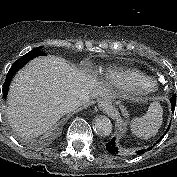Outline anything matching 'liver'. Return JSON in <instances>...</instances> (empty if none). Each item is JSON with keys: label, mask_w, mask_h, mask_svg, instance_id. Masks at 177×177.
Masks as SVG:
<instances>
[{"label": "liver", "mask_w": 177, "mask_h": 177, "mask_svg": "<svg viewBox=\"0 0 177 177\" xmlns=\"http://www.w3.org/2000/svg\"><path fill=\"white\" fill-rule=\"evenodd\" d=\"M113 97L94 76L78 70L56 56L30 61L12 80L6 117L18 135L38 137L48 131L64 113L63 100L75 97L82 103L90 98Z\"/></svg>", "instance_id": "obj_1"}]
</instances>
